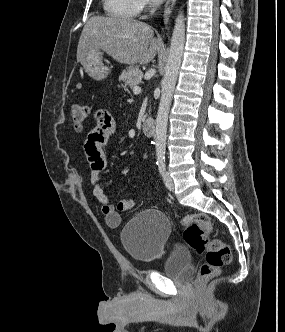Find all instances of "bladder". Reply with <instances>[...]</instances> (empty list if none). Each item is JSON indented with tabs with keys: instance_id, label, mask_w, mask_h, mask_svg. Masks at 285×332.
<instances>
[{
	"instance_id": "bladder-1",
	"label": "bladder",
	"mask_w": 285,
	"mask_h": 332,
	"mask_svg": "<svg viewBox=\"0 0 285 332\" xmlns=\"http://www.w3.org/2000/svg\"><path fill=\"white\" fill-rule=\"evenodd\" d=\"M172 231L167 216L156 209L136 214L122 229L121 243L126 252L141 262L159 258ZM192 256L183 246H176L167 256L164 272L172 279L185 280L191 272Z\"/></svg>"
}]
</instances>
